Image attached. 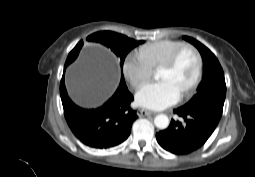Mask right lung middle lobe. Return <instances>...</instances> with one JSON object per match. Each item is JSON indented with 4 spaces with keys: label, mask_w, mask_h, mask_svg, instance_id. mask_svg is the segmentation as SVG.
Returning a JSON list of instances; mask_svg holds the SVG:
<instances>
[{
    "label": "right lung middle lobe",
    "mask_w": 255,
    "mask_h": 177,
    "mask_svg": "<svg viewBox=\"0 0 255 177\" xmlns=\"http://www.w3.org/2000/svg\"><path fill=\"white\" fill-rule=\"evenodd\" d=\"M87 40L99 42L109 47L115 53V55L119 58L121 68L123 67V63L128 52L135 46L142 44L144 42L142 40L136 41L134 39L128 38L125 35L111 32V31H101V32L94 33L90 35L89 37H87ZM82 46H83V42L80 41L79 48L76 50L75 56L71 57V55L69 54L66 60L65 66H68L71 62H73L76 59ZM121 83L125 84L123 74L121 78Z\"/></svg>",
    "instance_id": "right-lung-middle-lobe-1"
}]
</instances>
